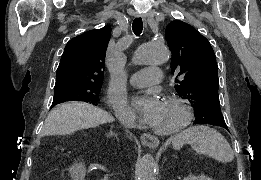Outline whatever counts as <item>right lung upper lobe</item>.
<instances>
[{
	"instance_id": "cb5924a9",
	"label": "right lung upper lobe",
	"mask_w": 261,
	"mask_h": 180,
	"mask_svg": "<svg viewBox=\"0 0 261 180\" xmlns=\"http://www.w3.org/2000/svg\"><path fill=\"white\" fill-rule=\"evenodd\" d=\"M110 34L111 28L105 26L71 39L61 56L55 85L67 82L102 83Z\"/></svg>"
}]
</instances>
